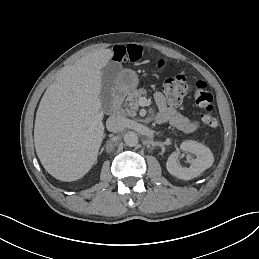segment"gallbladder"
<instances>
[{"label": "gallbladder", "instance_id": "1", "mask_svg": "<svg viewBox=\"0 0 259 259\" xmlns=\"http://www.w3.org/2000/svg\"><path fill=\"white\" fill-rule=\"evenodd\" d=\"M122 65L119 62H109L102 70V87L99 95L102 110L106 113L112 111L113 103V87L116 80L117 73L121 70Z\"/></svg>", "mask_w": 259, "mask_h": 259}]
</instances>
